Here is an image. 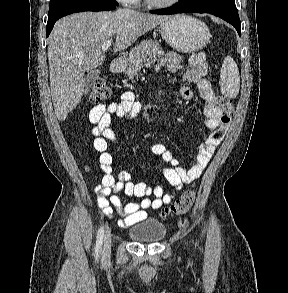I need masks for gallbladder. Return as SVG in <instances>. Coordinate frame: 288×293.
<instances>
[{"instance_id":"obj_1","label":"gallbladder","mask_w":288,"mask_h":293,"mask_svg":"<svg viewBox=\"0 0 288 293\" xmlns=\"http://www.w3.org/2000/svg\"><path fill=\"white\" fill-rule=\"evenodd\" d=\"M99 75H100L99 69L92 70L87 74V76L85 78V82H84V93L85 94H87L89 92L91 86L99 78Z\"/></svg>"}]
</instances>
